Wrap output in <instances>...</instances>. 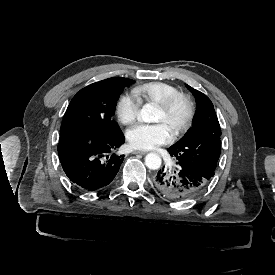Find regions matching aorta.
I'll return each mask as SVG.
<instances>
[{"label": "aorta", "instance_id": "aorta-1", "mask_svg": "<svg viewBox=\"0 0 275 275\" xmlns=\"http://www.w3.org/2000/svg\"><path fill=\"white\" fill-rule=\"evenodd\" d=\"M140 118L146 123L159 122L162 117V111L160 108L153 106L151 103H146L142 106ZM161 157L157 153H149L145 157V165L150 170H157L161 167Z\"/></svg>", "mask_w": 275, "mask_h": 275}]
</instances>
